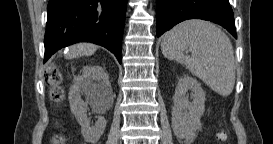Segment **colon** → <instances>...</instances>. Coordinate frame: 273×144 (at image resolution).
<instances>
[{"label": "colon", "mask_w": 273, "mask_h": 144, "mask_svg": "<svg viewBox=\"0 0 273 144\" xmlns=\"http://www.w3.org/2000/svg\"><path fill=\"white\" fill-rule=\"evenodd\" d=\"M47 79L49 84L52 87L51 93H50L52 100L60 101L63 98V89L61 87V82H62L61 71L56 67H52L47 73ZM226 139H227V134L225 132H221L220 140L226 141ZM61 142H62V138L60 136L54 137V143H61Z\"/></svg>", "instance_id": "colon-1"}]
</instances>
